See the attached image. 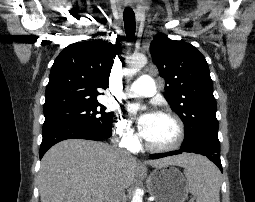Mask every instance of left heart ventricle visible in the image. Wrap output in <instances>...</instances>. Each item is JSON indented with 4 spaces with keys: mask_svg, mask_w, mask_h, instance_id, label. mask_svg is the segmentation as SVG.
I'll return each mask as SVG.
<instances>
[{
    "mask_svg": "<svg viewBox=\"0 0 255 202\" xmlns=\"http://www.w3.org/2000/svg\"><path fill=\"white\" fill-rule=\"evenodd\" d=\"M177 136V128L172 119L156 114L144 137L154 145H168Z\"/></svg>",
    "mask_w": 255,
    "mask_h": 202,
    "instance_id": "b2bd125f",
    "label": "left heart ventricle"
}]
</instances>
